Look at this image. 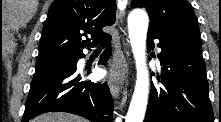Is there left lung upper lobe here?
Instances as JSON below:
<instances>
[{"label":"left lung upper lobe","instance_id":"obj_1","mask_svg":"<svg viewBox=\"0 0 221 122\" xmlns=\"http://www.w3.org/2000/svg\"><path fill=\"white\" fill-rule=\"evenodd\" d=\"M131 6L146 8L149 27L171 37L201 44L197 20L187 0H133Z\"/></svg>","mask_w":221,"mask_h":122}]
</instances>
